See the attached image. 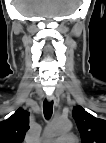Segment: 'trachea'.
Wrapping results in <instances>:
<instances>
[{
    "label": "trachea",
    "instance_id": "3493384b",
    "mask_svg": "<svg viewBox=\"0 0 106 143\" xmlns=\"http://www.w3.org/2000/svg\"><path fill=\"white\" fill-rule=\"evenodd\" d=\"M53 111V102H48L47 100L43 103V112L46 119H49Z\"/></svg>",
    "mask_w": 106,
    "mask_h": 143
}]
</instances>
